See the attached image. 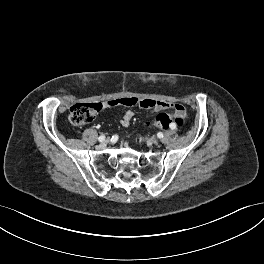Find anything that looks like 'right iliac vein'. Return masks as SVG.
<instances>
[{"instance_id": "obj_1", "label": "right iliac vein", "mask_w": 264, "mask_h": 264, "mask_svg": "<svg viewBox=\"0 0 264 264\" xmlns=\"http://www.w3.org/2000/svg\"><path fill=\"white\" fill-rule=\"evenodd\" d=\"M104 144L111 142V137H106V140L102 141Z\"/></svg>"}]
</instances>
